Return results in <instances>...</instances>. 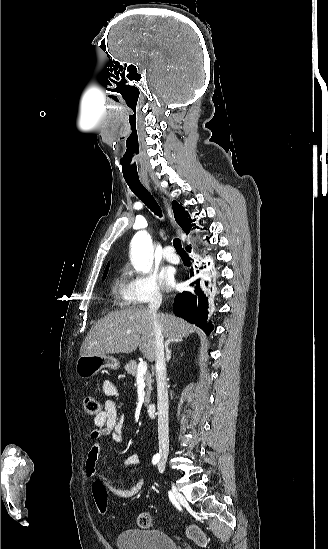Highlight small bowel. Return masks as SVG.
Masks as SVG:
<instances>
[{"mask_svg":"<svg viewBox=\"0 0 328 549\" xmlns=\"http://www.w3.org/2000/svg\"><path fill=\"white\" fill-rule=\"evenodd\" d=\"M103 392L109 397L104 402L103 410L94 418V429L91 437L94 440L85 462L86 474L94 479H102L98 471V461L101 451L100 439L108 437L114 442L122 441V427L124 417L119 416L117 404L113 400L118 396V390L115 384L110 380H105L102 385ZM141 458L137 454H132L126 460L127 467L131 468L138 465ZM144 486V480H138L128 488H119L111 485V490L121 498H132L139 494Z\"/></svg>","mask_w":328,"mask_h":549,"instance_id":"small-bowel-1","label":"small bowel"}]
</instances>
